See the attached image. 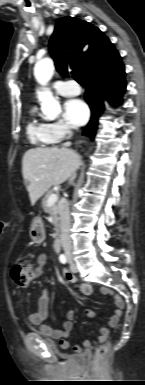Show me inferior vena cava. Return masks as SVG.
I'll list each match as a JSON object with an SVG mask.
<instances>
[{
  "mask_svg": "<svg viewBox=\"0 0 145 385\" xmlns=\"http://www.w3.org/2000/svg\"><path fill=\"white\" fill-rule=\"evenodd\" d=\"M71 135V132H69ZM76 177L74 172L70 176V181ZM59 215H60V230H61V244L66 256L71 255L72 250V241L70 237V212H69V203L66 198H62L59 202Z\"/></svg>",
  "mask_w": 145,
  "mask_h": 385,
  "instance_id": "inferior-vena-cava-1",
  "label": "inferior vena cava"
}]
</instances>
